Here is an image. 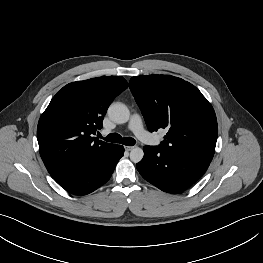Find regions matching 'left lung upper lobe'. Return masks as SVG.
Listing matches in <instances>:
<instances>
[{
  "label": "left lung upper lobe",
  "mask_w": 263,
  "mask_h": 263,
  "mask_svg": "<svg viewBox=\"0 0 263 263\" xmlns=\"http://www.w3.org/2000/svg\"><path fill=\"white\" fill-rule=\"evenodd\" d=\"M130 89L149 130L169 129L160 147L211 162L217 119L194 85L171 75H148L132 77Z\"/></svg>",
  "instance_id": "5c2ea615"
}]
</instances>
